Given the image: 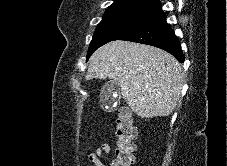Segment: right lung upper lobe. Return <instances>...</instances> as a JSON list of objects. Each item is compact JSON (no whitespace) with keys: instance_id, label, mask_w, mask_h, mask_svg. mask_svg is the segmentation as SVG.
I'll return each mask as SVG.
<instances>
[{"instance_id":"obj_1","label":"right lung upper lobe","mask_w":227,"mask_h":166,"mask_svg":"<svg viewBox=\"0 0 227 166\" xmlns=\"http://www.w3.org/2000/svg\"><path fill=\"white\" fill-rule=\"evenodd\" d=\"M125 4L148 5L156 6L159 8L161 7L160 2L158 0H115V2L110 7Z\"/></svg>"}]
</instances>
